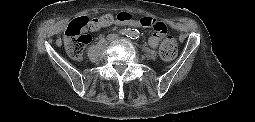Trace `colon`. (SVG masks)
Returning <instances> with one entry per match:
<instances>
[{"label":"colon","instance_id":"colon-1","mask_svg":"<svg viewBox=\"0 0 255 122\" xmlns=\"http://www.w3.org/2000/svg\"><path fill=\"white\" fill-rule=\"evenodd\" d=\"M128 13H119L116 16L106 14L99 18H77L65 29V49L70 57L80 60L83 57L85 47L91 42V32L108 28L115 23H124L133 20ZM141 27L152 28L161 34H170L168 27L151 17H141L137 20ZM160 55L165 60H172L177 55V42L172 36H167L160 46Z\"/></svg>","mask_w":255,"mask_h":122}]
</instances>
